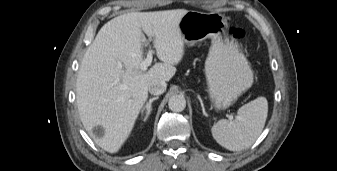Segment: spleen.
Returning <instances> with one entry per match:
<instances>
[{
	"label": "spleen",
	"mask_w": 337,
	"mask_h": 171,
	"mask_svg": "<svg viewBox=\"0 0 337 171\" xmlns=\"http://www.w3.org/2000/svg\"><path fill=\"white\" fill-rule=\"evenodd\" d=\"M268 115V102L258 97L239 108L235 120L221 119L211 128L212 136L219 145L240 151L250 147L260 136Z\"/></svg>",
	"instance_id": "1"
}]
</instances>
